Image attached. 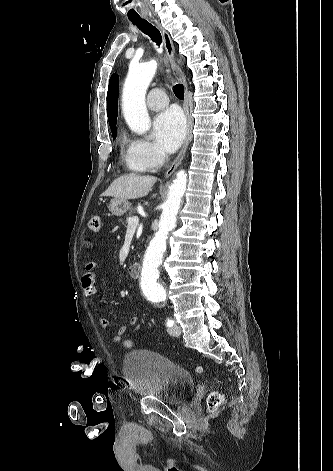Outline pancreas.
I'll list each match as a JSON object with an SVG mask.
<instances>
[{
	"instance_id": "cf45deb5",
	"label": "pancreas",
	"mask_w": 333,
	"mask_h": 471,
	"mask_svg": "<svg viewBox=\"0 0 333 471\" xmlns=\"http://www.w3.org/2000/svg\"><path fill=\"white\" fill-rule=\"evenodd\" d=\"M134 211H135L134 208H130V211H129V213H128V216L130 217Z\"/></svg>"
}]
</instances>
